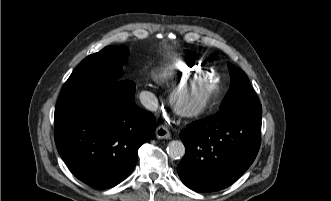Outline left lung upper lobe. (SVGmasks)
I'll list each match as a JSON object with an SVG mask.
<instances>
[{
    "instance_id": "left-lung-upper-lobe-1",
    "label": "left lung upper lobe",
    "mask_w": 331,
    "mask_h": 201,
    "mask_svg": "<svg viewBox=\"0 0 331 201\" xmlns=\"http://www.w3.org/2000/svg\"><path fill=\"white\" fill-rule=\"evenodd\" d=\"M228 67L231 84L220 108L225 109L232 106L259 102L245 72L231 63L228 64Z\"/></svg>"
}]
</instances>
